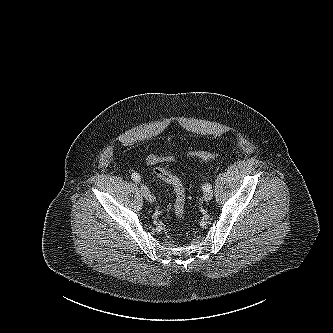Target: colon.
<instances>
[{
	"label": "colon",
	"instance_id": "obj_1",
	"mask_svg": "<svg viewBox=\"0 0 333 333\" xmlns=\"http://www.w3.org/2000/svg\"><path fill=\"white\" fill-rule=\"evenodd\" d=\"M190 156L200 158L202 160H212L215 159L218 154L210 153V152H200V151H192L188 153ZM154 174L172 186L175 193V203H174V211L177 218L181 219L184 216V206H185V190L181 183V181L171 174L168 170L164 168H156L153 170Z\"/></svg>",
	"mask_w": 333,
	"mask_h": 333
}]
</instances>
